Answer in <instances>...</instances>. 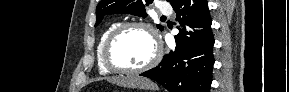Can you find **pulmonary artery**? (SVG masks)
I'll use <instances>...</instances> for the list:
<instances>
[{
    "label": "pulmonary artery",
    "instance_id": "e3ab8cb5",
    "mask_svg": "<svg viewBox=\"0 0 289 92\" xmlns=\"http://www.w3.org/2000/svg\"><path fill=\"white\" fill-rule=\"evenodd\" d=\"M159 10L162 14H171L172 13V9L166 4L160 5Z\"/></svg>",
    "mask_w": 289,
    "mask_h": 92
}]
</instances>
